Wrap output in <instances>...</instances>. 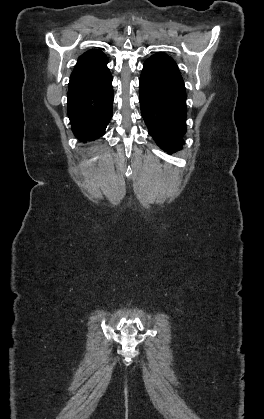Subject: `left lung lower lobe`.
<instances>
[{"label": "left lung lower lobe", "instance_id": "left-lung-lower-lobe-1", "mask_svg": "<svg viewBox=\"0 0 264 419\" xmlns=\"http://www.w3.org/2000/svg\"><path fill=\"white\" fill-rule=\"evenodd\" d=\"M139 100L149 134L168 154L182 148L186 132V92L172 58L157 53L143 64Z\"/></svg>", "mask_w": 264, "mask_h": 419}]
</instances>
